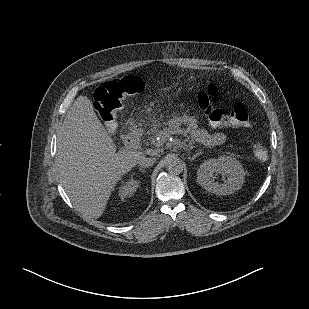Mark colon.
Masks as SVG:
<instances>
[{"label": "colon", "mask_w": 309, "mask_h": 309, "mask_svg": "<svg viewBox=\"0 0 309 309\" xmlns=\"http://www.w3.org/2000/svg\"><path fill=\"white\" fill-rule=\"evenodd\" d=\"M145 88L142 78L127 75L110 80L100 86L95 92V101L100 115L108 130H113L117 124V114L125 106L126 99L140 93ZM198 105L213 127L248 126L249 112L242 102H236L230 110L219 105V92L215 85L208 84L198 94ZM254 155L259 160H266L267 149L262 144L254 146Z\"/></svg>", "instance_id": "colon-1"}]
</instances>
